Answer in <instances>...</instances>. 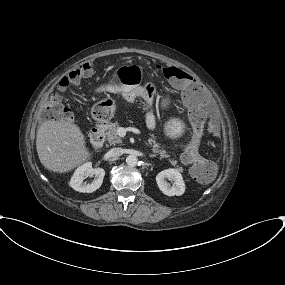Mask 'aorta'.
Wrapping results in <instances>:
<instances>
[{
	"mask_svg": "<svg viewBox=\"0 0 285 285\" xmlns=\"http://www.w3.org/2000/svg\"><path fill=\"white\" fill-rule=\"evenodd\" d=\"M126 163L130 167H135L138 164V158L135 155H128Z\"/></svg>",
	"mask_w": 285,
	"mask_h": 285,
	"instance_id": "obj_1",
	"label": "aorta"
}]
</instances>
